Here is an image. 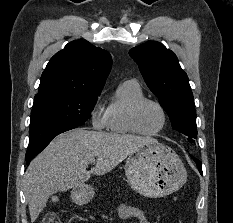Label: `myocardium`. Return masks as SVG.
I'll return each mask as SVG.
<instances>
[{
  "instance_id": "f54148a6",
  "label": "myocardium",
  "mask_w": 233,
  "mask_h": 223,
  "mask_svg": "<svg viewBox=\"0 0 233 223\" xmlns=\"http://www.w3.org/2000/svg\"><path fill=\"white\" fill-rule=\"evenodd\" d=\"M147 103L155 104L156 106H158L160 108V110L163 113L164 125H163L162 129H160L157 132H153V133L145 132L140 126V122H139L140 112H141L142 108L144 107V105H146ZM130 125L136 134H139V135H142L145 137L158 136V135L163 134L166 131V129L168 128V126H169V114H168L167 109L164 107V105L161 102H159L158 100L152 99V98L144 97V98L138 100L132 106L131 111H130Z\"/></svg>"
}]
</instances>
